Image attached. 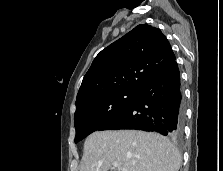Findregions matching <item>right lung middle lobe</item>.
<instances>
[{
  "label": "right lung middle lobe",
  "mask_w": 223,
  "mask_h": 171,
  "mask_svg": "<svg viewBox=\"0 0 223 171\" xmlns=\"http://www.w3.org/2000/svg\"><path fill=\"white\" fill-rule=\"evenodd\" d=\"M138 92L119 91L99 97L76 109L74 125L75 143L99 130L119 115L136 97Z\"/></svg>",
  "instance_id": "1"
}]
</instances>
